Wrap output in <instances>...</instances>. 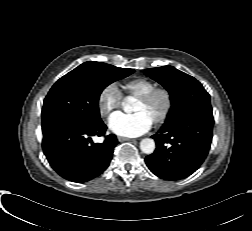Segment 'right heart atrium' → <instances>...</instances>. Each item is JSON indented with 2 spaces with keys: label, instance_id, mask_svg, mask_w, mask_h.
<instances>
[{
  "label": "right heart atrium",
  "instance_id": "obj_1",
  "mask_svg": "<svg viewBox=\"0 0 252 231\" xmlns=\"http://www.w3.org/2000/svg\"><path fill=\"white\" fill-rule=\"evenodd\" d=\"M122 95L115 83L105 85L97 98L99 114L107 118L112 115L121 105Z\"/></svg>",
  "mask_w": 252,
  "mask_h": 231
}]
</instances>
